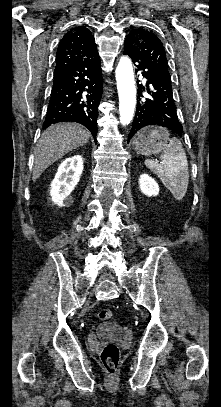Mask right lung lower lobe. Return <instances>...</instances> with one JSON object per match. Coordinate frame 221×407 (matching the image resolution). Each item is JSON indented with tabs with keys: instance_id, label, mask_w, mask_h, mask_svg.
Masks as SVG:
<instances>
[{
	"instance_id": "right-lung-lower-lobe-1",
	"label": "right lung lower lobe",
	"mask_w": 221,
	"mask_h": 407,
	"mask_svg": "<svg viewBox=\"0 0 221 407\" xmlns=\"http://www.w3.org/2000/svg\"><path fill=\"white\" fill-rule=\"evenodd\" d=\"M102 82L97 49L89 58L55 73L43 128L58 122H77L88 128L96 140Z\"/></svg>"
}]
</instances>
